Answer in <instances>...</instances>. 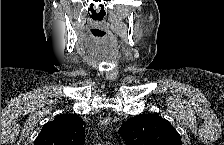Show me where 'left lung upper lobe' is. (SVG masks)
I'll use <instances>...</instances> for the list:
<instances>
[{"mask_svg": "<svg viewBox=\"0 0 224 145\" xmlns=\"http://www.w3.org/2000/svg\"><path fill=\"white\" fill-rule=\"evenodd\" d=\"M126 145H181L178 132L156 114L137 115L119 129Z\"/></svg>", "mask_w": 224, "mask_h": 145, "instance_id": "5c2ea615", "label": "left lung upper lobe"}]
</instances>
